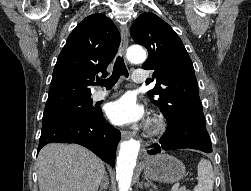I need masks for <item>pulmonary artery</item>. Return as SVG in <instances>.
I'll list each match as a JSON object with an SVG mask.
<instances>
[{
  "label": "pulmonary artery",
  "mask_w": 251,
  "mask_h": 191,
  "mask_svg": "<svg viewBox=\"0 0 251 191\" xmlns=\"http://www.w3.org/2000/svg\"><path fill=\"white\" fill-rule=\"evenodd\" d=\"M144 70L142 68H134L133 69V80L137 83H140L145 80L146 73H142ZM109 94L108 90H98L93 95L92 98L95 101H100L104 98H106Z\"/></svg>",
  "instance_id": "pulmonary-artery-1"
}]
</instances>
